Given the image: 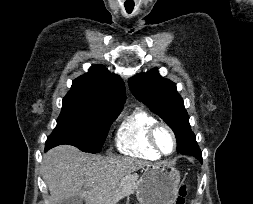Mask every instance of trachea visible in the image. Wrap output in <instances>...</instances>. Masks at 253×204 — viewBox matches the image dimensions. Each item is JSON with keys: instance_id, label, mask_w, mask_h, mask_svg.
Returning a JSON list of instances; mask_svg holds the SVG:
<instances>
[{"instance_id": "3493384b", "label": "trachea", "mask_w": 253, "mask_h": 204, "mask_svg": "<svg viewBox=\"0 0 253 204\" xmlns=\"http://www.w3.org/2000/svg\"><path fill=\"white\" fill-rule=\"evenodd\" d=\"M134 9V5H125V10L128 14H130Z\"/></svg>"}]
</instances>
